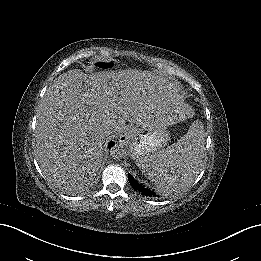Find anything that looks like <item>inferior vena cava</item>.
Returning a JSON list of instances; mask_svg holds the SVG:
<instances>
[{"label":"inferior vena cava","instance_id":"1","mask_svg":"<svg viewBox=\"0 0 261 261\" xmlns=\"http://www.w3.org/2000/svg\"><path fill=\"white\" fill-rule=\"evenodd\" d=\"M112 133H113V131H111V130L106 131L107 136H110Z\"/></svg>","mask_w":261,"mask_h":261}]
</instances>
